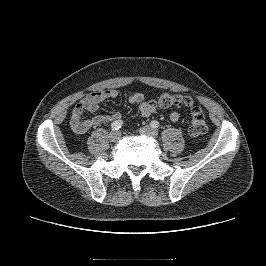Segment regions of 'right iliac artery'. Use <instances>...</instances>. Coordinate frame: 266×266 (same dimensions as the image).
I'll use <instances>...</instances> for the list:
<instances>
[{"label": "right iliac artery", "instance_id": "obj_1", "mask_svg": "<svg viewBox=\"0 0 266 266\" xmlns=\"http://www.w3.org/2000/svg\"><path fill=\"white\" fill-rule=\"evenodd\" d=\"M122 125H123V121H121V120H116V121H114V122L111 124V128H112V130H118V129H120V128L122 127Z\"/></svg>", "mask_w": 266, "mask_h": 266}]
</instances>
